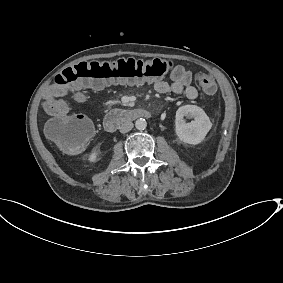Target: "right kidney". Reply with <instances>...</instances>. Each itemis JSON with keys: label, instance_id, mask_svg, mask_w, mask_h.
<instances>
[{"label": "right kidney", "instance_id": "ca27d5eb", "mask_svg": "<svg viewBox=\"0 0 283 283\" xmlns=\"http://www.w3.org/2000/svg\"><path fill=\"white\" fill-rule=\"evenodd\" d=\"M97 155H98V152L93 151V152L89 155V158H88L89 162H90V163L96 162V160H97Z\"/></svg>", "mask_w": 283, "mask_h": 283}]
</instances>
